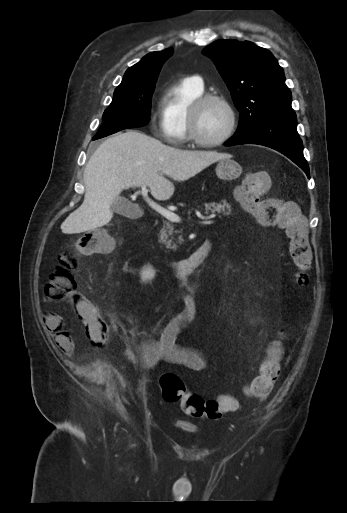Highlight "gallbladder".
Instances as JSON below:
<instances>
[{"mask_svg":"<svg viewBox=\"0 0 347 513\" xmlns=\"http://www.w3.org/2000/svg\"><path fill=\"white\" fill-rule=\"evenodd\" d=\"M112 210L115 213L128 218H135L139 214L138 207L124 197H119L114 201Z\"/></svg>","mask_w":347,"mask_h":513,"instance_id":"obj_1","label":"gallbladder"}]
</instances>
